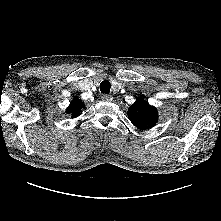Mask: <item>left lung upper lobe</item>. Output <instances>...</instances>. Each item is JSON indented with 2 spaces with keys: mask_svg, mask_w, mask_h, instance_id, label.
Wrapping results in <instances>:
<instances>
[{
  "mask_svg": "<svg viewBox=\"0 0 221 221\" xmlns=\"http://www.w3.org/2000/svg\"><path fill=\"white\" fill-rule=\"evenodd\" d=\"M127 113L131 123L140 130L152 128L158 120L157 109L142 98H138Z\"/></svg>",
  "mask_w": 221,
  "mask_h": 221,
  "instance_id": "1",
  "label": "left lung upper lobe"
}]
</instances>
